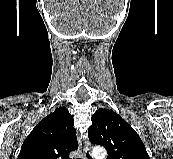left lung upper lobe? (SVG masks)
<instances>
[{"label":"left lung upper lobe","instance_id":"1","mask_svg":"<svg viewBox=\"0 0 173 159\" xmlns=\"http://www.w3.org/2000/svg\"><path fill=\"white\" fill-rule=\"evenodd\" d=\"M88 134L91 143L107 149V159H150L138 134L112 110L99 109Z\"/></svg>","mask_w":173,"mask_h":159}]
</instances>
